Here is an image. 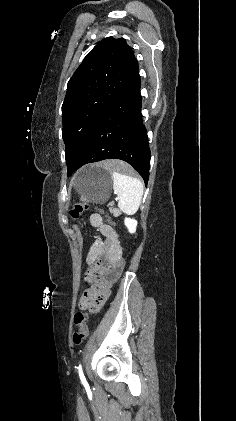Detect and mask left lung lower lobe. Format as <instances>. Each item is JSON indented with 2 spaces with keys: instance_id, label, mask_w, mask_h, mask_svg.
Wrapping results in <instances>:
<instances>
[{
  "instance_id": "1",
  "label": "left lung lower lobe",
  "mask_w": 236,
  "mask_h": 421,
  "mask_svg": "<svg viewBox=\"0 0 236 421\" xmlns=\"http://www.w3.org/2000/svg\"><path fill=\"white\" fill-rule=\"evenodd\" d=\"M140 85L136 64L121 93L91 131L76 163L68 165V176L87 163L116 158L128 162L147 185L150 149L141 115Z\"/></svg>"
}]
</instances>
